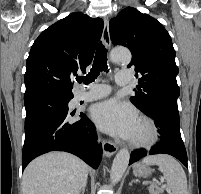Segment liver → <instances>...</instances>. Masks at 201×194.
<instances>
[{
	"label": "liver",
	"instance_id": "liver-1",
	"mask_svg": "<svg viewBox=\"0 0 201 194\" xmlns=\"http://www.w3.org/2000/svg\"><path fill=\"white\" fill-rule=\"evenodd\" d=\"M88 171V166L72 154H44L24 170L22 194H80Z\"/></svg>",
	"mask_w": 201,
	"mask_h": 194
}]
</instances>
